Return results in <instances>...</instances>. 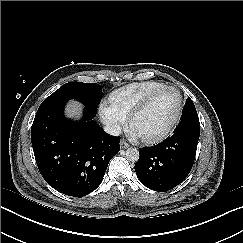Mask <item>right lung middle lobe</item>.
Instances as JSON below:
<instances>
[{
  "label": "right lung middle lobe",
  "instance_id": "obj_1",
  "mask_svg": "<svg viewBox=\"0 0 243 243\" xmlns=\"http://www.w3.org/2000/svg\"><path fill=\"white\" fill-rule=\"evenodd\" d=\"M101 86L97 83L70 82L61 86L58 90L47 97L40 106L75 99L85 105V108L93 115L103 97Z\"/></svg>",
  "mask_w": 243,
  "mask_h": 243
}]
</instances>
